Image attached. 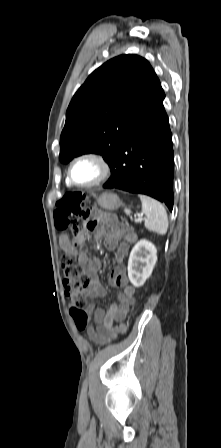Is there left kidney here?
<instances>
[{
  "mask_svg": "<svg viewBox=\"0 0 221 448\" xmlns=\"http://www.w3.org/2000/svg\"><path fill=\"white\" fill-rule=\"evenodd\" d=\"M157 261V249L149 241H138L131 250L128 260V277L135 287L142 286L152 274Z\"/></svg>",
  "mask_w": 221,
  "mask_h": 448,
  "instance_id": "1",
  "label": "left kidney"
}]
</instances>
